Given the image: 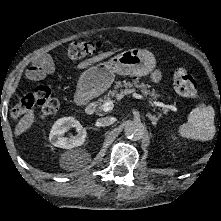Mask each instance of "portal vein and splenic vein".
<instances>
[{"mask_svg":"<svg viewBox=\"0 0 221 221\" xmlns=\"http://www.w3.org/2000/svg\"><path fill=\"white\" fill-rule=\"evenodd\" d=\"M132 96H133L134 98H137V99H145L144 96H142V95H140V94H136V93H134ZM149 102H150V105H151V106L162 107V108H164L165 111H168V110H172V111H174V112L177 111V108H176L175 106H173V105H166V104H163V103H161V102L151 101V100H149ZM113 107H114L113 101H108V102H105V103L102 105V110H103L104 112H109V111H111V110L113 109Z\"/></svg>","mask_w":221,"mask_h":221,"instance_id":"18ae733b","label":"portal vein and splenic vein"}]
</instances>
